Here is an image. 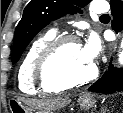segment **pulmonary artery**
Wrapping results in <instances>:
<instances>
[{
	"mask_svg": "<svg viewBox=\"0 0 123 113\" xmlns=\"http://www.w3.org/2000/svg\"><path fill=\"white\" fill-rule=\"evenodd\" d=\"M108 10V3L106 1H97L94 2L93 11L97 14H102L107 12Z\"/></svg>",
	"mask_w": 123,
	"mask_h": 113,
	"instance_id": "e3ab8cb5",
	"label": "pulmonary artery"
}]
</instances>
